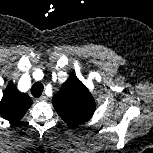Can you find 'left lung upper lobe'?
I'll list each match as a JSON object with an SVG mask.
<instances>
[{
	"instance_id": "left-lung-upper-lobe-1",
	"label": "left lung upper lobe",
	"mask_w": 153,
	"mask_h": 153,
	"mask_svg": "<svg viewBox=\"0 0 153 153\" xmlns=\"http://www.w3.org/2000/svg\"><path fill=\"white\" fill-rule=\"evenodd\" d=\"M52 103L64 122L73 128L90 120L96 109L95 99L76 75L63 83Z\"/></svg>"
}]
</instances>
